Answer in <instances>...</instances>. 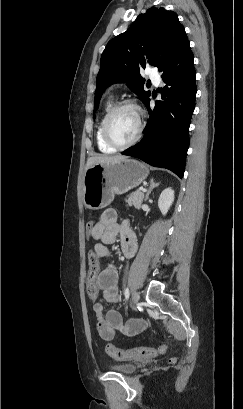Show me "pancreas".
<instances>
[{
	"label": "pancreas",
	"instance_id": "cf45deb5",
	"mask_svg": "<svg viewBox=\"0 0 243 409\" xmlns=\"http://www.w3.org/2000/svg\"><path fill=\"white\" fill-rule=\"evenodd\" d=\"M144 199V193L140 190H137L133 192L128 199L126 200L127 204L129 206H134L136 209H139L141 207V204Z\"/></svg>",
	"mask_w": 243,
	"mask_h": 409
}]
</instances>
